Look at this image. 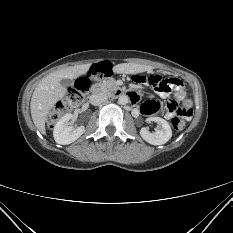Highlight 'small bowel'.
I'll return each mask as SVG.
<instances>
[{
	"label": "small bowel",
	"mask_w": 233,
	"mask_h": 233,
	"mask_svg": "<svg viewBox=\"0 0 233 233\" xmlns=\"http://www.w3.org/2000/svg\"><path fill=\"white\" fill-rule=\"evenodd\" d=\"M172 80H174L176 83L173 85V87H172V89L171 90H174V98H175V100L177 101V102H181V101H183V100H185V99H187V93H186V90H185V88H184V85H183V83H182V81H180L179 79H176V78H171ZM171 90H169V91H158V93L161 95V96H166ZM135 95H136V97H137V99H136V101L138 100V95L136 94V93H134ZM149 102L150 101H147V102H145L142 106H141V108H140V110H138V109H135L134 110V112H135V115H138L140 112L141 113H143V114H145V115H151V114H154L151 110H150V108H149ZM176 114V112L175 111H173V110H167V112H166V117L167 118H171V117H173L174 115Z\"/></svg>",
	"instance_id": "obj_1"
}]
</instances>
